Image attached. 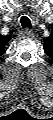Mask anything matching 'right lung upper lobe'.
Returning a JSON list of instances; mask_svg holds the SVG:
<instances>
[{"mask_svg":"<svg viewBox=\"0 0 53 120\" xmlns=\"http://www.w3.org/2000/svg\"><path fill=\"white\" fill-rule=\"evenodd\" d=\"M11 38L9 36L0 35V55L4 53V46L8 43Z\"/></svg>","mask_w":53,"mask_h":120,"instance_id":"1","label":"right lung upper lobe"}]
</instances>
